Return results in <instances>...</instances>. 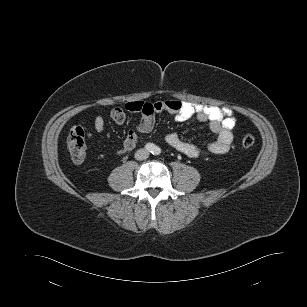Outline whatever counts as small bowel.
I'll use <instances>...</instances> for the list:
<instances>
[{"mask_svg": "<svg viewBox=\"0 0 307 307\" xmlns=\"http://www.w3.org/2000/svg\"><path fill=\"white\" fill-rule=\"evenodd\" d=\"M162 112L172 114L177 121L182 122L195 118L199 122L206 123L216 137L207 144L206 149H202L182 140L176 133L166 134L165 141L182 154L198 158L207 154H224L229 150L233 139L232 130L236 125V118L232 110L187 101L164 100L158 102L131 101L111 110L110 117L118 124L125 122L128 113H138L141 116L137 127L127 132L123 148L119 153L133 150L138 143V134L149 133L153 129L155 115ZM104 127V118L97 116L94 119L95 130L102 133Z\"/></svg>", "mask_w": 307, "mask_h": 307, "instance_id": "small-bowel-1", "label": "small bowel"}]
</instances>
